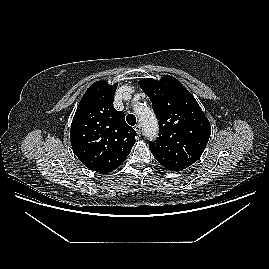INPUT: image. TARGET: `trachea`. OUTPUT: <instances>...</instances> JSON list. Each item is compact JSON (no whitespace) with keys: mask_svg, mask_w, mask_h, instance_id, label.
<instances>
[{"mask_svg":"<svg viewBox=\"0 0 269 269\" xmlns=\"http://www.w3.org/2000/svg\"><path fill=\"white\" fill-rule=\"evenodd\" d=\"M126 121L129 125L134 126L136 124V117L133 114H128L126 116Z\"/></svg>","mask_w":269,"mask_h":269,"instance_id":"obj_1","label":"trachea"}]
</instances>
